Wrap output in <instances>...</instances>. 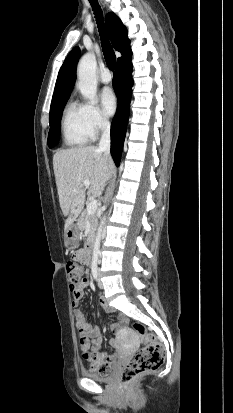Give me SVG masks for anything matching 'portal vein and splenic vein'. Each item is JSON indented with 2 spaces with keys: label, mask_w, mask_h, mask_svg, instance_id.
I'll list each match as a JSON object with an SVG mask.
<instances>
[{
  "label": "portal vein and splenic vein",
  "mask_w": 233,
  "mask_h": 413,
  "mask_svg": "<svg viewBox=\"0 0 233 413\" xmlns=\"http://www.w3.org/2000/svg\"><path fill=\"white\" fill-rule=\"evenodd\" d=\"M83 186L88 188L91 185L90 180H84L82 183ZM76 192V190H75ZM97 209V200L93 199L91 202L87 205V213L88 215H92L96 212Z\"/></svg>",
  "instance_id": "portal-vein-and-splenic-vein-1"
}]
</instances>
